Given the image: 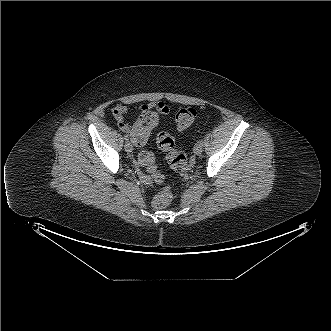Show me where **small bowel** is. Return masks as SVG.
Returning a JSON list of instances; mask_svg holds the SVG:
<instances>
[{"mask_svg": "<svg viewBox=\"0 0 331 331\" xmlns=\"http://www.w3.org/2000/svg\"><path fill=\"white\" fill-rule=\"evenodd\" d=\"M145 109H153L161 114H168L170 111L169 106L164 102H160V101L151 102L141 107V111ZM127 111H128L127 106L124 104H118L113 108L112 114L117 122V126L122 132L129 134L131 136V139L135 145L143 146L146 142L142 144H136L133 140V138L136 136V127L135 124L130 125L128 122L125 121L124 116L127 113ZM148 155L151 156L149 152L146 151L142 152L139 157L140 162H142L144 156H148Z\"/></svg>", "mask_w": 331, "mask_h": 331, "instance_id": "1", "label": "small bowel"}]
</instances>
